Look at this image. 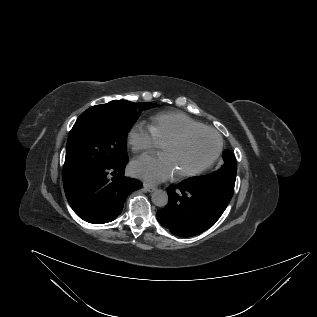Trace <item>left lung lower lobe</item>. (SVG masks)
<instances>
[{"label":"left lung lower lobe","instance_id":"left-lung-lower-lobe-1","mask_svg":"<svg viewBox=\"0 0 317 317\" xmlns=\"http://www.w3.org/2000/svg\"><path fill=\"white\" fill-rule=\"evenodd\" d=\"M233 192L234 184L231 183L188 178L168 188L169 202L158 210V220L175 235H198L220 218Z\"/></svg>","mask_w":317,"mask_h":317}]
</instances>
